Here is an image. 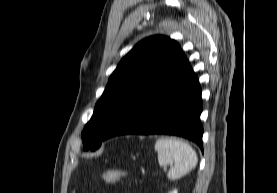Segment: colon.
<instances>
[{
	"label": "colon",
	"mask_w": 277,
	"mask_h": 193,
	"mask_svg": "<svg viewBox=\"0 0 277 193\" xmlns=\"http://www.w3.org/2000/svg\"><path fill=\"white\" fill-rule=\"evenodd\" d=\"M126 177V173L117 169L106 170L101 173L100 179L108 184L121 182Z\"/></svg>",
	"instance_id": "1"
}]
</instances>
